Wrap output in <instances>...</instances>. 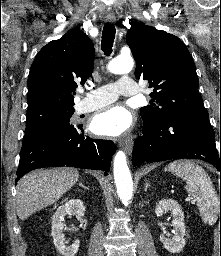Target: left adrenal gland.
<instances>
[{"mask_svg":"<svg viewBox=\"0 0 221 256\" xmlns=\"http://www.w3.org/2000/svg\"><path fill=\"white\" fill-rule=\"evenodd\" d=\"M151 186V184L149 182H146V185H145V191H147V189Z\"/></svg>","mask_w":221,"mask_h":256,"instance_id":"left-adrenal-gland-1","label":"left adrenal gland"}]
</instances>
